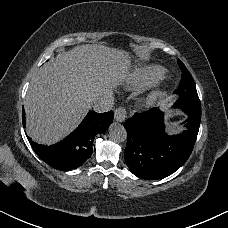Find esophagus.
Returning <instances> with one entry per match:
<instances>
[{"label":"esophagus","mask_w":228,"mask_h":228,"mask_svg":"<svg viewBox=\"0 0 228 228\" xmlns=\"http://www.w3.org/2000/svg\"><path fill=\"white\" fill-rule=\"evenodd\" d=\"M115 120L123 122L127 117V110L124 106H120L115 110Z\"/></svg>","instance_id":"esophagus-1"}]
</instances>
